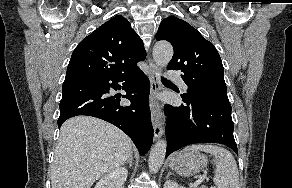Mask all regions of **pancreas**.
I'll return each mask as SVG.
<instances>
[{
	"label": "pancreas",
	"instance_id": "obj_1",
	"mask_svg": "<svg viewBox=\"0 0 292 188\" xmlns=\"http://www.w3.org/2000/svg\"><path fill=\"white\" fill-rule=\"evenodd\" d=\"M199 188H206V187H204V186H201V187H199Z\"/></svg>",
	"mask_w": 292,
	"mask_h": 188
}]
</instances>
